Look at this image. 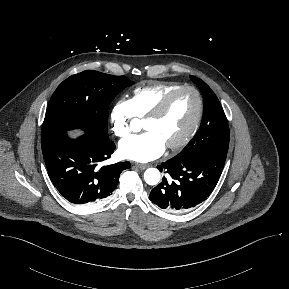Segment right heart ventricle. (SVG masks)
<instances>
[{
	"label": "right heart ventricle",
	"instance_id": "1",
	"mask_svg": "<svg viewBox=\"0 0 289 289\" xmlns=\"http://www.w3.org/2000/svg\"><path fill=\"white\" fill-rule=\"evenodd\" d=\"M180 86L173 82H158L137 87L130 99L134 116L145 118L169 92Z\"/></svg>",
	"mask_w": 289,
	"mask_h": 289
}]
</instances>
